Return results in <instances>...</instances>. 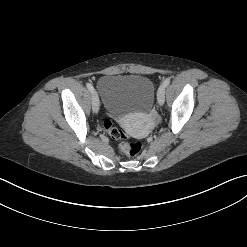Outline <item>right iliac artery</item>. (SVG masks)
<instances>
[{"mask_svg":"<svg viewBox=\"0 0 247 247\" xmlns=\"http://www.w3.org/2000/svg\"><path fill=\"white\" fill-rule=\"evenodd\" d=\"M86 86H87L88 90H89L91 93H93V91H94L93 86H92L90 83H87Z\"/></svg>","mask_w":247,"mask_h":247,"instance_id":"obj_1","label":"right iliac artery"}]
</instances>
